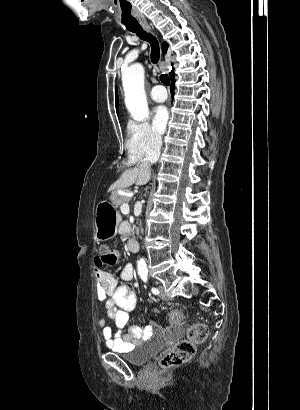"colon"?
Here are the masks:
<instances>
[{"label": "colon", "mask_w": 300, "mask_h": 410, "mask_svg": "<svg viewBox=\"0 0 300 410\" xmlns=\"http://www.w3.org/2000/svg\"><path fill=\"white\" fill-rule=\"evenodd\" d=\"M119 259V252L116 249L109 248L101 252L95 259L99 267L113 266ZM181 308H174L171 314L170 323L174 326L181 324L182 329L188 328V323L184 322ZM209 334L208 327L205 324L198 323L189 327L188 339L179 341L172 350L168 351L160 360L162 368L179 366L193 357L196 351V344L204 342Z\"/></svg>", "instance_id": "5ec220e1"}]
</instances>
